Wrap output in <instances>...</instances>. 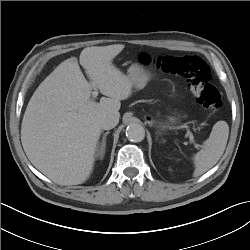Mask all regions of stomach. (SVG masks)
<instances>
[{
    "instance_id": "obj_1",
    "label": "stomach",
    "mask_w": 250,
    "mask_h": 250,
    "mask_svg": "<svg viewBox=\"0 0 250 250\" xmlns=\"http://www.w3.org/2000/svg\"><path fill=\"white\" fill-rule=\"evenodd\" d=\"M128 77L131 79L134 88L142 89L149 81L150 74L141 65L133 64L128 69ZM171 121L173 122L174 119H171Z\"/></svg>"
}]
</instances>
